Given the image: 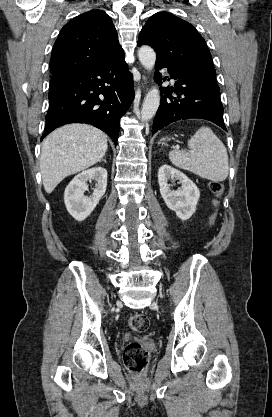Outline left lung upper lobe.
<instances>
[{"label":"left lung upper lobe","mask_w":272,"mask_h":417,"mask_svg":"<svg viewBox=\"0 0 272 417\" xmlns=\"http://www.w3.org/2000/svg\"><path fill=\"white\" fill-rule=\"evenodd\" d=\"M142 44L150 45L156 51V62L179 68L218 86L207 44L190 23L168 12H158L141 30L138 45Z\"/></svg>","instance_id":"left-lung-upper-lobe-1"}]
</instances>
